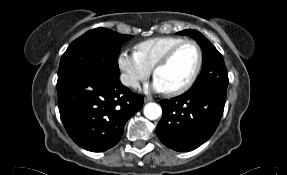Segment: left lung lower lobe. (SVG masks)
I'll list each match as a JSON object with an SVG mask.
<instances>
[{
	"mask_svg": "<svg viewBox=\"0 0 287 175\" xmlns=\"http://www.w3.org/2000/svg\"><path fill=\"white\" fill-rule=\"evenodd\" d=\"M226 92L206 89L187 91L170 100H161L162 118L156 133L175 151H191L206 142L222 117Z\"/></svg>",
	"mask_w": 287,
	"mask_h": 175,
	"instance_id": "1",
	"label": "left lung lower lobe"
}]
</instances>
